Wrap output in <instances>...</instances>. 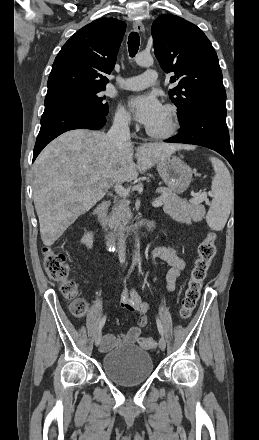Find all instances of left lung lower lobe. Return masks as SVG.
<instances>
[{
	"instance_id": "0a47b994",
	"label": "left lung lower lobe",
	"mask_w": 259,
	"mask_h": 440,
	"mask_svg": "<svg viewBox=\"0 0 259 440\" xmlns=\"http://www.w3.org/2000/svg\"><path fill=\"white\" fill-rule=\"evenodd\" d=\"M180 125V132L165 142L207 147L221 154L232 165L233 154L226 124V107L215 104L200 105Z\"/></svg>"
}]
</instances>
